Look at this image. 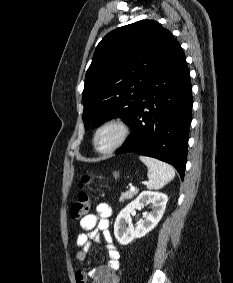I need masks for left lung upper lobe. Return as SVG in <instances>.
Segmentation results:
<instances>
[{"mask_svg":"<svg viewBox=\"0 0 233 283\" xmlns=\"http://www.w3.org/2000/svg\"><path fill=\"white\" fill-rule=\"evenodd\" d=\"M177 43L154 20H141L109 32L96 47L82 93L83 122L98 126L121 117L129 123L151 74Z\"/></svg>","mask_w":233,"mask_h":283,"instance_id":"1","label":"left lung upper lobe"}]
</instances>
